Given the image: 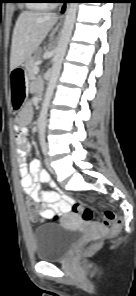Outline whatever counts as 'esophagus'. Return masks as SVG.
Returning <instances> with one entry per match:
<instances>
[{
    "instance_id": "obj_1",
    "label": "esophagus",
    "mask_w": 136,
    "mask_h": 296,
    "mask_svg": "<svg viewBox=\"0 0 136 296\" xmlns=\"http://www.w3.org/2000/svg\"><path fill=\"white\" fill-rule=\"evenodd\" d=\"M67 8H68V4H63L60 9H59V18H64L65 14H66V11H67Z\"/></svg>"
}]
</instances>
